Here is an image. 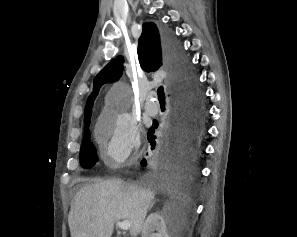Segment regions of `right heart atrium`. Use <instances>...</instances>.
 <instances>
[{
  "mask_svg": "<svg viewBox=\"0 0 297 237\" xmlns=\"http://www.w3.org/2000/svg\"><path fill=\"white\" fill-rule=\"evenodd\" d=\"M96 135L104 146L103 155L110 166H120L138 156L139 127L136 120L121 109L110 108L100 116Z\"/></svg>",
  "mask_w": 297,
  "mask_h": 237,
  "instance_id": "right-heart-atrium-1",
  "label": "right heart atrium"
}]
</instances>
